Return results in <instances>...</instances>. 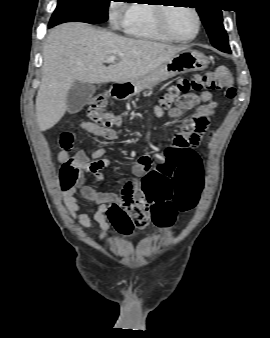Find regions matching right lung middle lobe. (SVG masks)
<instances>
[{"label": "right lung middle lobe", "instance_id": "right-lung-middle-lobe-1", "mask_svg": "<svg viewBox=\"0 0 270 338\" xmlns=\"http://www.w3.org/2000/svg\"><path fill=\"white\" fill-rule=\"evenodd\" d=\"M111 0H58L49 26L64 22L102 23L108 19Z\"/></svg>", "mask_w": 270, "mask_h": 338}]
</instances>
